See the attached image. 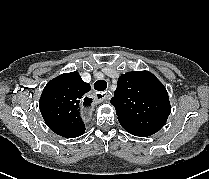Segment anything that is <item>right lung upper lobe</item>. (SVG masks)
Listing matches in <instances>:
<instances>
[{
	"mask_svg": "<svg viewBox=\"0 0 209 179\" xmlns=\"http://www.w3.org/2000/svg\"><path fill=\"white\" fill-rule=\"evenodd\" d=\"M91 89L78 72L62 74L51 80L40 97V111L56 134L74 138L85 132L81 110L90 106L92 99L86 97Z\"/></svg>",
	"mask_w": 209,
	"mask_h": 179,
	"instance_id": "cb5924a9",
	"label": "right lung upper lobe"
}]
</instances>
